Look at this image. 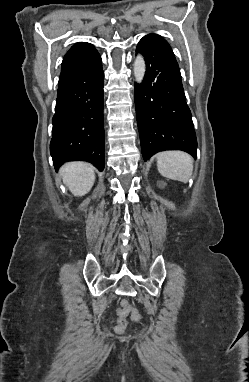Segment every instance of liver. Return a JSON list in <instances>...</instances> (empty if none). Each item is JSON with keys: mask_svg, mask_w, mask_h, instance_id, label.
I'll list each match as a JSON object with an SVG mask.
<instances>
[{"mask_svg": "<svg viewBox=\"0 0 249 382\" xmlns=\"http://www.w3.org/2000/svg\"><path fill=\"white\" fill-rule=\"evenodd\" d=\"M64 184L74 196L87 194L95 181L94 167L86 162H70L60 169Z\"/></svg>", "mask_w": 249, "mask_h": 382, "instance_id": "6515ba94", "label": "liver"}]
</instances>
